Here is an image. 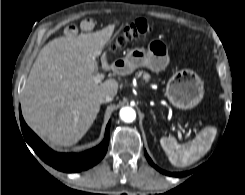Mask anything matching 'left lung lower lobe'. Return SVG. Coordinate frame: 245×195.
Instances as JSON below:
<instances>
[{"instance_id": "obj_1", "label": "left lung lower lobe", "mask_w": 245, "mask_h": 195, "mask_svg": "<svg viewBox=\"0 0 245 195\" xmlns=\"http://www.w3.org/2000/svg\"><path fill=\"white\" fill-rule=\"evenodd\" d=\"M145 156L148 160V162L154 167L156 168L159 172L168 175V176H172V177H183L186 176L188 174H190L192 171H187V172H180V173H170V172H166L164 170H161L160 168H158L156 165L153 164L152 160L150 159V157L148 156V154L146 153V151L144 152Z\"/></svg>"}]
</instances>
